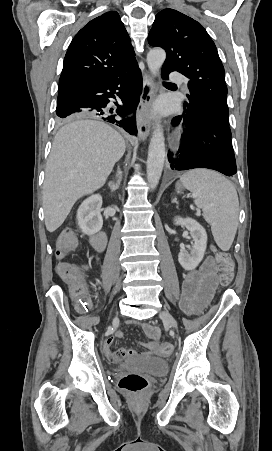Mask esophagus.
<instances>
[{
	"mask_svg": "<svg viewBox=\"0 0 272 451\" xmlns=\"http://www.w3.org/2000/svg\"><path fill=\"white\" fill-rule=\"evenodd\" d=\"M156 85L154 79L145 74L143 78L142 93L140 96V102L137 107V125L139 131V137L141 140H146L151 130L150 112L152 107V101L155 93Z\"/></svg>",
	"mask_w": 272,
	"mask_h": 451,
	"instance_id": "34e87169",
	"label": "esophagus"
}]
</instances>
